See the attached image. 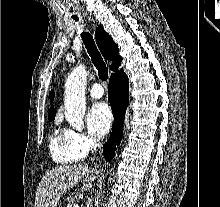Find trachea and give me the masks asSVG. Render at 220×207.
Masks as SVG:
<instances>
[{"label": "trachea", "mask_w": 220, "mask_h": 207, "mask_svg": "<svg viewBox=\"0 0 220 207\" xmlns=\"http://www.w3.org/2000/svg\"><path fill=\"white\" fill-rule=\"evenodd\" d=\"M73 19L75 21H78L77 17H73ZM81 37L94 66L98 70L99 78L103 81H106L108 79V69L101 54L99 53L95 45L92 35L89 32H82Z\"/></svg>", "instance_id": "3493384b"}]
</instances>
